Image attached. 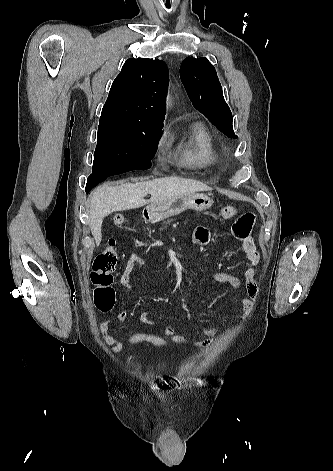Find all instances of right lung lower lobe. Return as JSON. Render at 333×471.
Instances as JSON below:
<instances>
[{"label": "right lung lower lobe", "instance_id": "1", "mask_svg": "<svg viewBox=\"0 0 333 471\" xmlns=\"http://www.w3.org/2000/svg\"><path fill=\"white\" fill-rule=\"evenodd\" d=\"M108 177H94L90 175L86 184V193H89L93 187H95L101 181L106 180Z\"/></svg>", "mask_w": 333, "mask_h": 471}]
</instances>
